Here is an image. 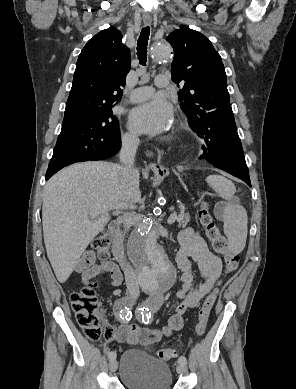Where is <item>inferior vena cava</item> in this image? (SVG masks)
I'll use <instances>...</instances> for the list:
<instances>
[{"mask_svg":"<svg viewBox=\"0 0 296 389\" xmlns=\"http://www.w3.org/2000/svg\"><path fill=\"white\" fill-rule=\"evenodd\" d=\"M140 141L136 135L128 134L122 137V148L120 151V162L119 168L120 174L128 179L135 174L137 170L133 166L134 158ZM134 224V214L126 212L123 214V225L124 230L127 232ZM125 282L129 294L136 299L139 294V284L133 269L130 266L126 267L125 270Z\"/></svg>","mask_w":296,"mask_h":389,"instance_id":"obj_1","label":"inferior vena cava"}]
</instances>
